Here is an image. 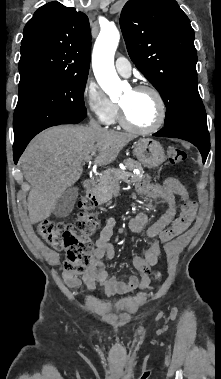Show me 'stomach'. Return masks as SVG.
<instances>
[{
	"instance_id": "0dacf381",
	"label": "stomach",
	"mask_w": 221,
	"mask_h": 379,
	"mask_svg": "<svg viewBox=\"0 0 221 379\" xmlns=\"http://www.w3.org/2000/svg\"><path fill=\"white\" fill-rule=\"evenodd\" d=\"M134 155L146 167L156 168L166 159L161 144L150 138H141L134 145Z\"/></svg>"
}]
</instances>
